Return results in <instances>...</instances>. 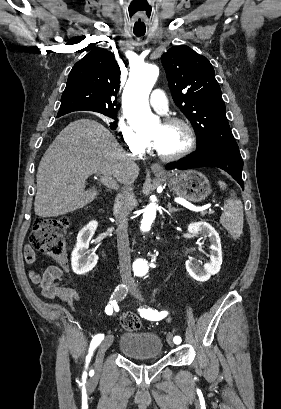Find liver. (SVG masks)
Returning a JSON list of instances; mask_svg holds the SVG:
<instances>
[{"label":"liver","instance_id":"obj_1","mask_svg":"<svg viewBox=\"0 0 281 409\" xmlns=\"http://www.w3.org/2000/svg\"><path fill=\"white\" fill-rule=\"evenodd\" d=\"M95 172L130 184L139 166L108 128L97 120L79 118L57 134L39 162L35 215L59 217L89 205L98 190H85V186Z\"/></svg>","mask_w":281,"mask_h":409}]
</instances>
